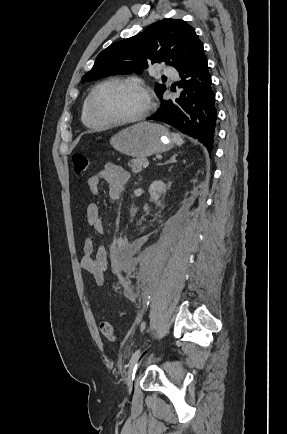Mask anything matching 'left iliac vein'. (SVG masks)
I'll return each instance as SVG.
<instances>
[{"label":"left iliac vein","instance_id":"left-iliac-vein-1","mask_svg":"<svg viewBox=\"0 0 287 434\" xmlns=\"http://www.w3.org/2000/svg\"><path fill=\"white\" fill-rule=\"evenodd\" d=\"M132 374H133V368L130 367L129 372H128L127 381H126L128 387L131 385Z\"/></svg>","mask_w":287,"mask_h":434}]
</instances>
